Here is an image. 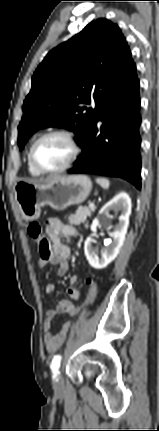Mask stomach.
I'll return each mask as SVG.
<instances>
[{"instance_id":"1","label":"stomach","mask_w":159,"mask_h":431,"mask_svg":"<svg viewBox=\"0 0 159 431\" xmlns=\"http://www.w3.org/2000/svg\"><path fill=\"white\" fill-rule=\"evenodd\" d=\"M92 190L91 180L84 175L58 176L45 184L20 181L15 185V200L25 220H35L41 208L55 210L83 203Z\"/></svg>"}]
</instances>
